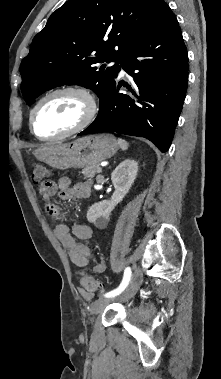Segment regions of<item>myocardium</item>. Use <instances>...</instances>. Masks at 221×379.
I'll use <instances>...</instances> for the list:
<instances>
[{"instance_id": "f54148a6", "label": "myocardium", "mask_w": 221, "mask_h": 379, "mask_svg": "<svg viewBox=\"0 0 221 379\" xmlns=\"http://www.w3.org/2000/svg\"><path fill=\"white\" fill-rule=\"evenodd\" d=\"M63 93L76 94L85 100L86 105H87V110H86V113H85L83 119L76 126H74L73 128H71V129H69V130H67L61 134L50 136V137H42V136L38 135L35 131V128H34V117H35L37 110L42 105V103L45 100H47L48 98H50L54 95L63 94ZM97 112H98L97 102H96L94 96L86 88H83L80 86H74V85L62 86V87H58V88H55L53 90L48 91L35 103V105L30 110V113H29V129H30V132L37 139H39L41 141L60 140V139L69 137L71 135H74L78 132H81L82 130L87 128L94 121V119L97 115Z\"/></svg>"}]
</instances>
